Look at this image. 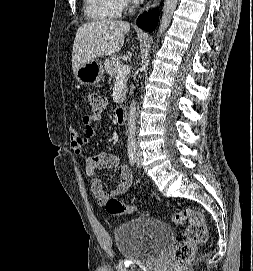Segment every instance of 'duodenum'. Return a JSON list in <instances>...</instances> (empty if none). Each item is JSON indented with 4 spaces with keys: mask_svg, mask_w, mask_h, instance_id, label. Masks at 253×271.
Returning <instances> with one entry per match:
<instances>
[{
    "mask_svg": "<svg viewBox=\"0 0 253 271\" xmlns=\"http://www.w3.org/2000/svg\"><path fill=\"white\" fill-rule=\"evenodd\" d=\"M114 118L117 124H123L126 119V108L124 106L118 107L114 112Z\"/></svg>",
    "mask_w": 253,
    "mask_h": 271,
    "instance_id": "duodenum-1",
    "label": "duodenum"
}]
</instances>
